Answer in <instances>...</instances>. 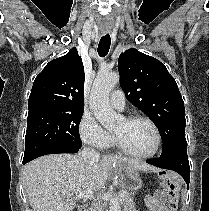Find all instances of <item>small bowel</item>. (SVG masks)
I'll use <instances>...</instances> for the list:
<instances>
[{
  "label": "small bowel",
  "mask_w": 209,
  "mask_h": 211,
  "mask_svg": "<svg viewBox=\"0 0 209 211\" xmlns=\"http://www.w3.org/2000/svg\"><path fill=\"white\" fill-rule=\"evenodd\" d=\"M148 211H170L166 206V193L157 191L145 200Z\"/></svg>",
  "instance_id": "obj_1"
}]
</instances>
